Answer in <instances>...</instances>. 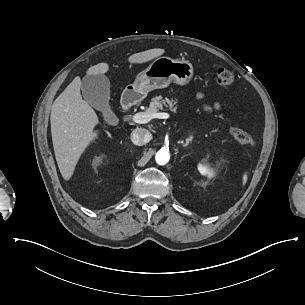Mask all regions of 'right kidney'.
<instances>
[{
  "mask_svg": "<svg viewBox=\"0 0 305 305\" xmlns=\"http://www.w3.org/2000/svg\"><path fill=\"white\" fill-rule=\"evenodd\" d=\"M102 161H103V159L96 158L95 159V164H100Z\"/></svg>",
  "mask_w": 305,
  "mask_h": 305,
  "instance_id": "1",
  "label": "right kidney"
}]
</instances>
